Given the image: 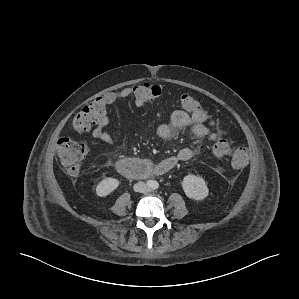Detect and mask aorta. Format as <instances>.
<instances>
[{
	"label": "aorta",
	"mask_w": 299,
	"mask_h": 299,
	"mask_svg": "<svg viewBox=\"0 0 299 299\" xmlns=\"http://www.w3.org/2000/svg\"><path fill=\"white\" fill-rule=\"evenodd\" d=\"M151 187H152L153 189H156V188L158 187V182L153 181L152 184H151Z\"/></svg>",
	"instance_id": "1"
}]
</instances>
